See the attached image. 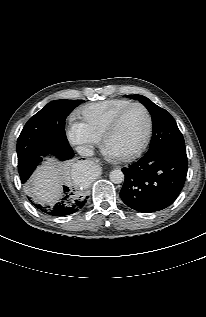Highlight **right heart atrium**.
<instances>
[{"label":"right heart atrium","mask_w":206,"mask_h":317,"mask_svg":"<svg viewBox=\"0 0 206 317\" xmlns=\"http://www.w3.org/2000/svg\"><path fill=\"white\" fill-rule=\"evenodd\" d=\"M66 134L68 140L76 147L87 150L99 142V138L93 135L87 127L79 121L70 120Z\"/></svg>","instance_id":"obj_1"}]
</instances>
